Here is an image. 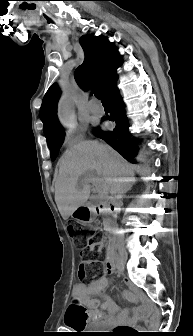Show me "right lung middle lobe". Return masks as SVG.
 <instances>
[{
  "mask_svg": "<svg viewBox=\"0 0 193 336\" xmlns=\"http://www.w3.org/2000/svg\"><path fill=\"white\" fill-rule=\"evenodd\" d=\"M64 133L58 135L57 137L53 138L51 141L47 142L48 147L51 151V159L54 161L59 153V149L62 145L64 140Z\"/></svg>",
  "mask_w": 193,
  "mask_h": 336,
  "instance_id": "dd1d6c3e",
  "label": "right lung middle lobe"
}]
</instances>
